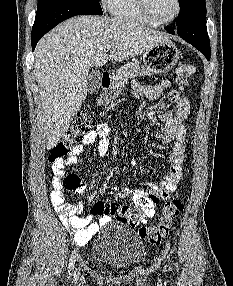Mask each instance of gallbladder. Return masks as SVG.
Segmentation results:
<instances>
[{
    "instance_id": "obj_1",
    "label": "gallbladder",
    "mask_w": 233,
    "mask_h": 286,
    "mask_svg": "<svg viewBox=\"0 0 233 286\" xmlns=\"http://www.w3.org/2000/svg\"><path fill=\"white\" fill-rule=\"evenodd\" d=\"M100 81H101V74L98 72H92L89 75L88 79V91L90 93L96 92L100 87Z\"/></svg>"
}]
</instances>
